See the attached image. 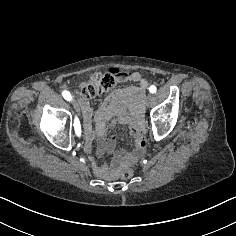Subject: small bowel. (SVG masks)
Masks as SVG:
<instances>
[{
	"mask_svg": "<svg viewBox=\"0 0 236 236\" xmlns=\"http://www.w3.org/2000/svg\"><path fill=\"white\" fill-rule=\"evenodd\" d=\"M119 81L139 82V85H131L111 92L94 115L95 128L92 126L93 110L86 98H81L83 125L85 132V151L90 152L92 141L96 138L98 142L97 154L113 152L115 138L107 135V123L112 120L111 125L122 124L127 126L134 138L135 148L132 152L118 150L114 153L111 165H100L91 159V164L97 176L109 179L117 172L137 161L145 152V121H144V99L148 83L142 79L138 72H118Z\"/></svg>",
	"mask_w": 236,
	"mask_h": 236,
	"instance_id": "1",
	"label": "small bowel"
}]
</instances>
